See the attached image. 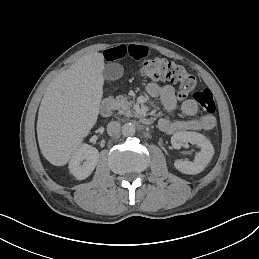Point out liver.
Masks as SVG:
<instances>
[{"mask_svg": "<svg viewBox=\"0 0 259 259\" xmlns=\"http://www.w3.org/2000/svg\"><path fill=\"white\" fill-rule=\"evenodd\" d=\"M104 65L102 53L85 55L48 84L36 129L40 151L53 166L67 165L97 123Z\"/></svg>", "mask_w": 259, "mask_h": 259, "instance_id": "6515ba94", "label": "liver"}]
</instances>
